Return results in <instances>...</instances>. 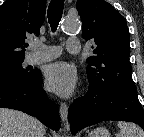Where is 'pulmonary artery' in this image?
<instances>
[{
	"label": "pulmonary artery",
	"mask_w": 144,
	"mask_h": 137,
	"mask_svg": "<svg viewBox=\"0 0 144 137\" xmlns=\"http://www.w3.org/2000/svg\"><path fill=\"white\" fill-rule=\"evenodd\" d=\"M31 46L34 51L28 56L30 63L47 62L57 58L61 54L59 46H47L39 41L32 42ZM80 48V42L77 39L69 38L66 41V49L69 53H78Z\"/></svg>",
	"instance_id": "pulmonary-artery-1"
}]
</instances>
